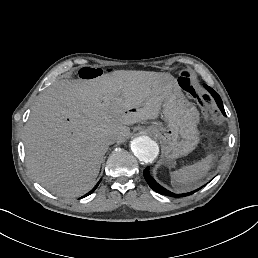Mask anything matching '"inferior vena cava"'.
<instances>
[{
  "instance_id": "obj_1",
  "label": "inferior vena cava",
  "mask_w": 258,
  "mask_h": 258,
  "mask_svg": "<svg viewBox=\"0 0 258 258\" xmlns=\"http://www.w3.org/2000/svg\"><path fill=\"white\" fill-rule=\"evenodd\" d=\"M118 140V137H117V135L116 134H108L106 137H105V143L107 144V145H111V144H113V143H115L116 141Z\"/></svg>"
}]
</instances>
